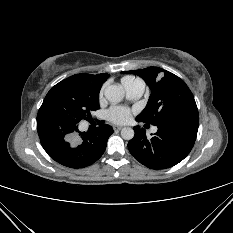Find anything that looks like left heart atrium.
I'll return each mask as SVG.
<instances>
[{
  "label": "left heart atrium",
  "instance_id": "39dd6f15",
  "mask_svg": "<svg viewBox=\"0 0 233 233\" xmlns=\"http://www.w3.org/2000/svg\"><path fill=\"white\" fill-rule=\"evenodd\" d=\"M131 110L123 106H112L106 111V118L114 124H125L131 118Z\"/></svg>",
  "mask_w": 233,
  "mask_h": 233
}]
</instances>
